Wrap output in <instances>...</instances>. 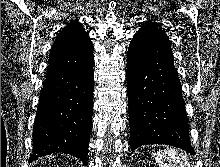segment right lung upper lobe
Returning a JSON list of instances; mask_svg holds the SVG:
<instances>
[{
  "label": "right lung upper lobe",
  "instance_id": "obj_1",
  "mask_svg": "<svg viewBox=\"0 0 220 167\" xmlns=\"http://www.w3.org/2000/svg\"><path fill=\"white\" fill-rule=\"evenodd\" d=\"M93 62V46L78 20L58 34L50 51L47 76L79 70Z\"/></svg>",
  "mask_w": 220,
  "mask_h": 167
}]
</instances>
